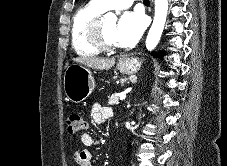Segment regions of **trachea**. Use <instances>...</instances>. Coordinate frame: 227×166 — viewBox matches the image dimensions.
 <instances>
[{"label": "trachea", "instance_id": "obj_1", "mask_svg": "<svg viewBox=\"0 0 227 166\" xmlns=\"http://www.w3.org/2000/svg\"><path fill=\"white\" fill-rule=\"evenodd\" d=\"M144 4H150L149 0H144Z\"/></svg>", "mask_w": 227, "mask_h": 166}]
</instances>
